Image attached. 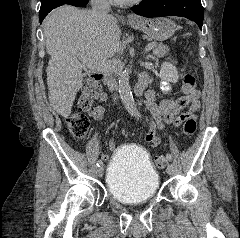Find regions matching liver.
Wrapping results in <instances>:
<instances>
[{"label":"liver","instance_id":"6515ba94","mask_svg":"<svg viewBox=\"0 0 240 238\" xmlns=\"http://www.w3.org/2000/svg\"><path fill=\"white\" fill-rule=\"evenodd\" d=\"M43 32L51 56L46 69L49 102L54 111L67 118L82 87L79 57L94 61L113 57L120 49L121 30L111 15L99 20L90 11L64 5L45 18Z\"/></svg>","mask_w":240,"mask_h":238}]
</instances>
